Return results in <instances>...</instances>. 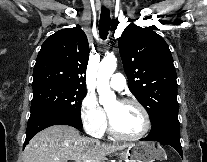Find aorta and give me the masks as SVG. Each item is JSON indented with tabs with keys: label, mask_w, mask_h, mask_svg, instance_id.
I'll list each match as a JSON object with an SVG mask.
<instances>
[{
	"label": "aorta",
	"mask_w": 207,
	"mask_h": 162,
	"mask_svg": "<svg viewBox=\"0 0 207 162\" xmlns=\"http://www.w3.org/2000/svg\"><path fill=\"white\" fill-rule=\"evenodd\" d=\"M117 67V59L114 56L105 57L98 69L97 75V92L99 94V102L103 106L114 103L116 96L111 91L109 86V80Z\"/></svg>",
	"instance_id": "1"
}]
</instances>
